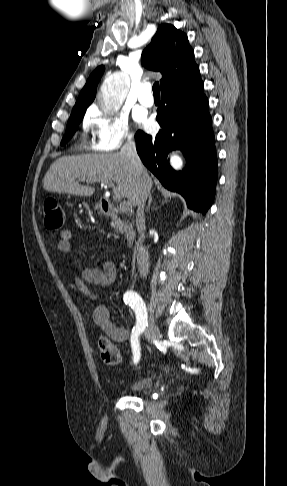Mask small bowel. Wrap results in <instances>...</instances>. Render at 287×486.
<instances>
[{"label": "small bowel", "mask_w": 287, "mask_h": 486, "mask_svg": "<svg viewBox=\"0 0 287 486\" xmlns=\"http://www.w3.org/2000/svg\"><path fill=\"white\" fill-rule=\"evenodd\" d=\"M73 241L74 236L71 231L67 229L62 230L60 232V239L57 243L58 251L64 255L70 254L73 249ZM116 276V265L111 261H106L103 264L102 270L86 268L80 275H74L73 282L79 292L90 300L95 301L98 299V295L93 289V286H108L114 282ZM93 319L95 324L114 341H131L132 334H130L128 329L118 327L112 322L111 314L107 307L97 306L93 312Z\"/></svg>", "instance_id": "1"}]
</instances>
